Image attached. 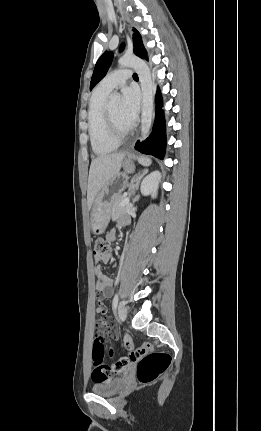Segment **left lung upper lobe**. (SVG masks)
<instances>
[{"mask_svg":"<svg viewBox=\"0 0 261 431\" xmlns=\"http://www.w3.org/2000/svg\"><path fill=\"white\" fill-rule=\"evenodd\" d=\"M133 31H134V34H133L134 51L139 57L145 59L147 58V53L142 44L140 34L136 29H134ZM123 48H124V45L121 46L120 50L122 51ZM112 60H113V53L110 51L104 52L101 55V57L98 59L91 78L90 90H92V88L106 75Z\"/></svg>","mask_w":261,"mask_h":431,"instance_id":"obj_1","label":"left lung upper lobe"}]
</instances>
